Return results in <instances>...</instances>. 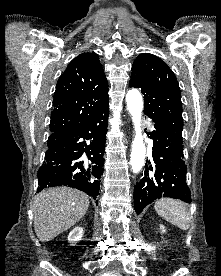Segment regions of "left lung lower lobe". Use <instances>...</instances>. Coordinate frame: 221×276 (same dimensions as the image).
Wrapping results in <instances>:
<instances>
[{"mask_svg":"<svg viewBox=\"0 0 221 276\" xmlns=\"http://www.w3.org/2000/svg\"><path fill=\"white\" fill-rule=\"evenodd\" d=\"M154 127L150 136L154 140L152 157L142 179L136 184L133 195L137 214L162 196L192 201L186 184L182 136L156 124Z\"/></svg>","mask_w":221,"mask_h":276,"instance_id":"1","label":"left lung lower lobe"}]
</instances>
